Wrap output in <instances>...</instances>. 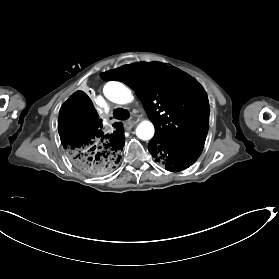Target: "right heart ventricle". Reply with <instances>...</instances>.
<instances>
[{
	"mask_svg": "<svg viewBox=\"0 0 279 279\" xmlns=\"http://www.w3.org/2000/svg\"><path fill=\"white\" fill-rule=\"evenodd\" d=\"M101 66V62H97L95 63L91 68L90 70L88 71V76H92L94 75L100 68ZM114 84H116L117 86H119L123 91H127V89L125 88L124 85H122L121 83H118V82H112Z\"/></svg>",
	"mask_w": 279,
	"mask_h": 279,
	"instance_id": "1",
	"label": "right heart ventricle"
}]
</instances>
